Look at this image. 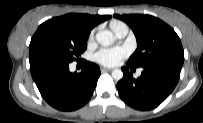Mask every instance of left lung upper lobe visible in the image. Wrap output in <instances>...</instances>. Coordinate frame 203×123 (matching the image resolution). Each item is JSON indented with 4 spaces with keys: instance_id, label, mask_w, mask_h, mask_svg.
<instances>
[{
    "instance_id": "obj_1",
    "label": "left lung upper lobe",
    "mask_w": 203,
    "mask_h": 123,
    "mask_svg": "<svg viewBox=\"0 0 203 123\" xmlns=\"http://www.w3.org/2000/svg\"><path fill=\"white\" fill-rule=\"evenodd\" d=\"M133 30L138 48L127 64L143 67L151 64H177L184 62V50L178 35L166 23L151 15H114Z\"/></svg>"
}]
</instances>
